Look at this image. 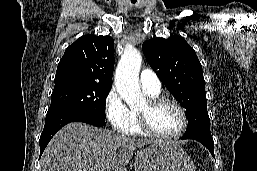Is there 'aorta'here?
<instances>
[{"label":"aorta","mask_w":257,"mask_h":171,"mask_svg":"<svg viewBox=\"0 0 257 171\" xmlns=\"http://www.w3.org/2000/svg\"><path fill=\"white\" fill-rule=\"evenodd\" d=\"M141 62L140 52L135 48H128L124 51L116 69L117 91L130 108H137L145 103V97L139 86Z\"/></svg>","instance_id":"obj_1"}]
</instances>
